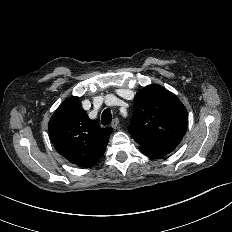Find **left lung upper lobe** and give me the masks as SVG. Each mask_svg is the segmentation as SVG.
<instances>
[{
  "label": "left lung upper lobe",
  "instance_id": "obj_1",
  "mask_svg": "<svg viewBox=\"0 0 232 232\" xmlns=\"http://www.w3.org/2000/svg\"><path fill=\"white\" fill-rule=\"evenodd\" d=\"M187 124V110L177 96L162 86L148 85L134 98L128 131L140 147L177 146Z\"/></svg>",
  "mask_w": 232,
  "mask_h": 232
}]
</instances>
